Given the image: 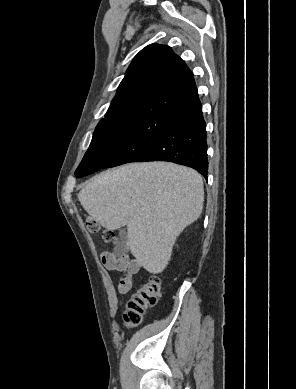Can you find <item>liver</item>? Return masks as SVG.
Here are the masks:
<instances>
[{"label": "liver", "mask_w": 296, "mask_h": 389, "mask_svg": "<svg viewBox=\"0 0 296 389\" xmlns=\"http://www.w3.org/2000/svg\"><path fill=\"white\" fill-rule=\"evenodd\" d=\"M103 228L127 226L128 245L140 266L161 273L180 233L201 215L202 177L170 162L131 163L95 176L78 194Z\"/></svg>", "instance_id": "obj_1"}]
</instances>
